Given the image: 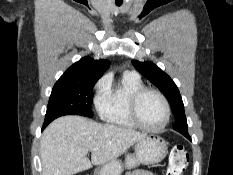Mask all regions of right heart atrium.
I'll return each instance as SVG.
<instances>
[{
    "mask_svg": "<svg viewBox=\"0 0 233 175\" xmlns=\"http://www.w3.org/2000/svg\"><path fill=\"white\" fill-rule=\"evenodd\" d=\"M107 80L108 79H101V80H99L97 82V84L95 85V89L98 90V91H101L105 87V85L107 83Z\"/></svg>",
    "mask_w": 233,
    "mask_h": 175,
    "instance_id": "obj_1",
    "label": "right heart atrium"
}]
</instances>
